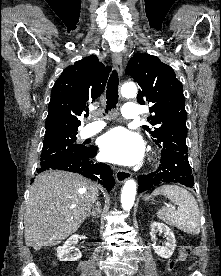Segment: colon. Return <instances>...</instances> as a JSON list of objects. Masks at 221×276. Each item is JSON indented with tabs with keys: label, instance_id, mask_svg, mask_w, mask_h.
Segmentation results:
<instances>
[{
	"label": "colon",
	"instance_id": "1",
	"mask_svg": "<svg viewBox=\"0 0 221 276\" xmlns=\"http://www.w3.org/2000/svg\"><path fill=\"white\" fill-rule=\"evenodd\" d=\"M191 253V248L190 246H182L179 250V258H178V261H184L187 259V257L190 255ZM175 265V262L174 261H169L167 263V268L169 270L173 269Z\"/></svg>",
	"mask_w": 221,
	"mask_h": 276
}]
</instances>
